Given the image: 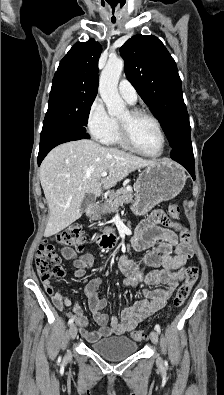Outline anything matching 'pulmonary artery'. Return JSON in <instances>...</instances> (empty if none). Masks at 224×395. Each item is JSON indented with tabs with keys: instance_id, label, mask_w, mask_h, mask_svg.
I'll list each match as a JSON object with an SVG mask.
<instances>
[{
	"instance_id": "e3ab8cb5",
	"label": "pulmonary artery",
	"mask_w": 224,
	"mask_h": 395,
	"mask_svg": "<svg viewBox=\"0 0 224 395\" xmlns=\"http://www.w3.org/2000/svg\"><path fill=\"white\" fill-rule=\"evenodd\" d=\"M118 90L121 97L130 104H134L137 101L138 95L133 85L126 79L120 80L118 84Z\"/></svg>"
}]
</instances>
